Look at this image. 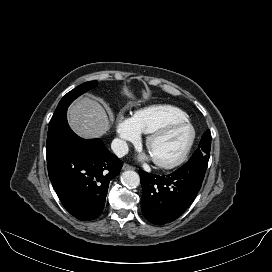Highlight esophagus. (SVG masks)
Masks as SVG:
<instances>
[{
	"label": "esophagus",
	"mask_w": 272,
	"mask_h": 272,
	"mask_svg": "<svg viewBox=\"0 0 272 272\" xmlns=\"http://www.w3.org/2000/svg\"><path fill=\"white\" fill-rule=\"evenodd\" d=\"M122 169L123 170H134L135 168L129 164H124Z\"/></svg>",
	"instance_id": "obj_1"
}]
</instances>
